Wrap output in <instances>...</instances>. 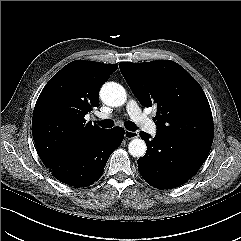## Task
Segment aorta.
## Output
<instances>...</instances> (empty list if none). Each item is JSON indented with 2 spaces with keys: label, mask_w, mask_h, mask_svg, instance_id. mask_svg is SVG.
<instances>
[{
  "label": "aorta",
  "mask_w": 241,
  "mask_h": 241,
  "mask_svg": "<svg viewBox=\"0 0 241 241\" xmlns=\"http://www.w3.org/2000/svg\"><path fill=\"white\" fill-rule=\"evenodd\" d=\"M101 100L108 106H122L127 99L125 89L118 83L107 82L100 90ZM146 143L142 139H133L128 145V152L133 157H142L146 153Z\"/></svg>",
  "instance_id": "aorta-1"
}]
</instances>
